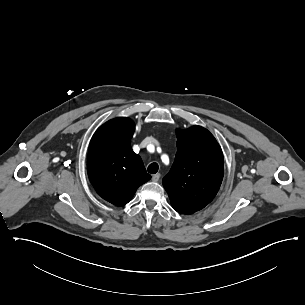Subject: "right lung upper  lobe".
<instances>
[{
  "label": "right lung upper lobe",
  "mask_w": 305,
  "mask_h": 305,
  "mask_svg": "<svg viewBox=\"0 0 305 305\" xmlns=\"http://www.w3.org/2000/svg\"><path fill=\"white\" fill-rule=\"evenodd\" d=\"M134 122L118 117L94 133L88 151L87 171L96 192L106 201L123 206L151 176L131 149Z\"/></svg>",
  "instance_id": "cb5924a9"
}]
</instances>
